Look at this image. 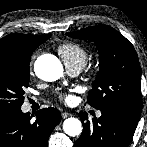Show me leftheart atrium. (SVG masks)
I'll return each instance as SVG.
<instances>
[{
    "label": "left heart atrium",
    "instance_id": "obj_1",
    "mask_svg": "<svg viewBox=\"0 0 147 147\" xmlns=\"http://www.w3.org/2000/svg\"><path fill=\"white\" fill-rule=\"evenodd\" d=\"M59 98L67 103H70L73 101V95L70 93H61L59 94Z\"/></svg>",
    "mask_w": 147,
    "mask_h": 147
}]
</instances>
